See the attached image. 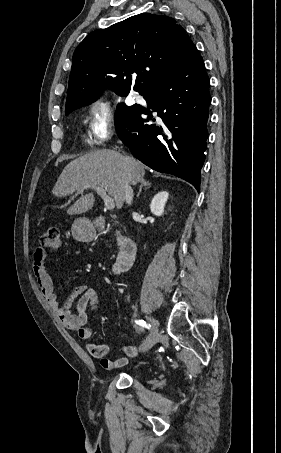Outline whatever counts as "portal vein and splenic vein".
<instances>
[{
	"label": "portal vein and splenic vein",
	"instance_id": "1",
	"mask_svg": "<svg viewBox=\"0 0 281 453\" xmlns=\"http://www.w3.org/2000/svg\"><path fill=\"white\" fill-rule=\"evenodd\" d=\"M85 186H79L78 190H83ZM94 190H96L97 194H100L101 198L104 200V206L105 208H108V210H112V208H115V202L111 196H108L106 194L105 188H101V186H92Z\"/></svg>",
	"mask_w": 281,
	"mask_h": 453
}]
</instances>
